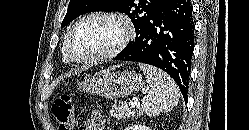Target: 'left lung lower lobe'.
<instances>
[{"mask_svg":"<svg viewBox=\"0 0 249 130\" xmlns=\"http://www.w3.org/2000/svg\"><path fill=\"white\" fill-rule=\"evenodd\" d=\"M190 0H163L142 24L135 41L116 60L156 66L177 83L186 100L194 47V21Z\"/></svg>","mask_w":249,"mask_h":130,"instance_id":"0a47b994","label":"left lung lower lobe"}]
</instances>
